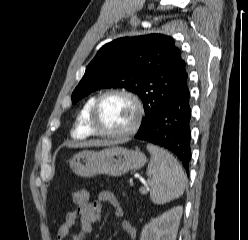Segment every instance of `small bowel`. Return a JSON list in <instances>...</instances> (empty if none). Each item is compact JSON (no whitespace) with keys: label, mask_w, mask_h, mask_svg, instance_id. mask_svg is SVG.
I'll return each instance as SVG.
<instances>
[{"label":"small bowel","mask_w":248,"mask_h":240,"mask_svg":"<svg viewBox=\"0 0 248 240\" xmlns=\"http://www.w3.org/2000/svg\"><path fill=\"white\" fill-rule=\"evenodd\" d=\"M103 203H108L113 207L116 217H124V210L114 193L111 191H101L97 194L95 201L76 206L73 210L67 212L64 222L58 229L57 240H65L77 221L81 223V230L74 236L73 240H86L91 234L93 226L100 219ZM121 228L131 239L136 238V227L130 221L122 220Z\"/></svg>","instance_id":"obj_1"}]
</instances>
